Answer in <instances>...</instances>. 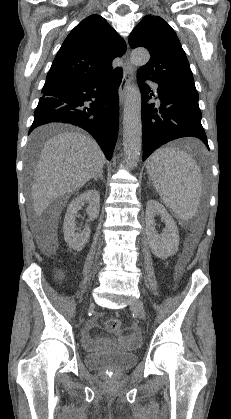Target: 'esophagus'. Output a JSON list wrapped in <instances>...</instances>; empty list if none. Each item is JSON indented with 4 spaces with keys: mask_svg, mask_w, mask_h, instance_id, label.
I'll use <instances>...</instances> for the list:
<instances>
[{
    "mask_svg": "<svg viewBox=\"0 0 231 419\" xmlns=\"http://www.w3.org/2000/svg\"><path fill=\"white\" fill-rule=\"evenodd\" d=\"M135 73V68L129 62L128 57L126 56L125 63L123 66V78L119 87V98L120 104L122 105L126 97L127 90L133 80Z\"/></svg>",
    "mask_w": 231,
    "mask_h": 419,
    "instance_id": "esophagus-1",
    "label": "esophagus"
}]
</instances>
